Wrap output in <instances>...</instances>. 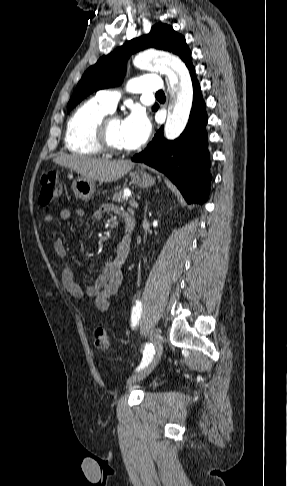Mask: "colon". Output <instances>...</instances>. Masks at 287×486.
Returning a JSON list of instances; mask_svg holds the SVG:
<instances>
[{"label": "colon", "mask_w": 287, "mask_h": 486, "mask_svg": "<svg viewBox=\"0 0 287 486\" xmlns=\"http://www.w3.org/2000/svg\"><path fill=\"white\" fill-rule=\"evenodd\" d=\"M61 187L58 177L54 172H47L41 177V189L39 203L43 206L54 202L60 195ZM94 345L99 350H107L111 339L108 331L103 327L94 330Z\"/></svg>", "instance_id": "1"}]
</instances>
